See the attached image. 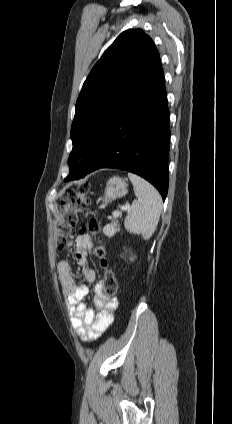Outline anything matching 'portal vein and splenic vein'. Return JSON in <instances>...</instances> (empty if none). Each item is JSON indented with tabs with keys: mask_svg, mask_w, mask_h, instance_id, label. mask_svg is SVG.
<instances>
[{
	"mask_svg": "<svg viewBox=\"0 0 232 424\" xmlns=\"http://www.w3.org/2000/svg\"><path fill=\"white\" fill-rule=\"evenodd\" d=\"M120 209H121V211H129L131 209V207H130L129 204H127L125 206H121ZM113 215L116 216L117 213H113Z\"/></svg>",
	"mask_w": 232,
	"mask_h": 424,
	"instance_id": "obj_1",
	"label": "portal vein and splenic vein"
}]
</instances>
